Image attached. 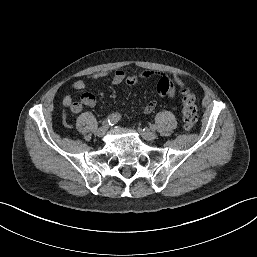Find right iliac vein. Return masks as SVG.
<instances>
[{
  "label": "right iliac vein",
  "mask_w": 257,
  "mask_h": 257,
  "mask_svg": "<svg viewBox=\"0 0 257 257\" xmlns=\"http://www.w3.org/2000/svg\"><path fill=\"white\" fill-rule=\"evenodd\" d=\"M108 129V125H104L102 127H100L97 131H96V135L97 137L101 138L105 135L106 131Z\"/></svg>",
  "instance_id": "obj_1"
}]
</instances>
